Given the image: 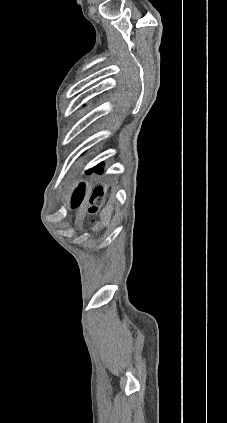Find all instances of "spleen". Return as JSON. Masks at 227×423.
<instances>
[{"label":"spleen","mask_w":227,"mask_h":423,"mask_svg":"<svg viewBox=\"0 0 227 423\" xmlns=\"http://www.w3.org/2000/svg\"><path fill=\"white\" fill-rule=\"evenodd\" d=\"M111 213H112V210H109V208H107V210L104 211V215H105V217H104V223H105V225H107V223H109L110 217H111Z\"/></svg>","instance_id":"obj_1"}]
</instances>
